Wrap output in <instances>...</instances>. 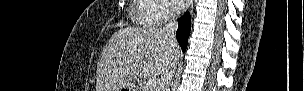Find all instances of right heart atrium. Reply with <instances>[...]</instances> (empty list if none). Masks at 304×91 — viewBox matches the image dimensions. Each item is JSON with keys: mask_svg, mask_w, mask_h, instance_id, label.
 I'll list each match as a JSON object with an SVG mask.
<instances>
[{"mask_svg": "<svg viewBox=\"0 0 304 91\" xmlns=\"http://www.w3.org/2000/svg\"><path fill=\"white\" fill-rule=\"evenodd\" d=\"M150 7L146 20L152 23H164L174 17L175 12L167 0H144Z\"/></svg>", "mask_w": 304, "mask_h": 91, "instance_id": "right-heart-atrium-1", "label": "right heart atrium"}]
</instances>
